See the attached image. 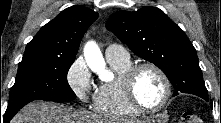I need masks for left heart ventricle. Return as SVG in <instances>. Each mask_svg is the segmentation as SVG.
<instances>
[{
  "instance_id": "obj_1",
  "label": "left heart ventricle",
  "mask_w": 221,
  "mask_h": 123,
  "mask_svg": "<svg viewBox=\"0 0 221 123\" xmlns=\"http://www.w3.org/2000/svg\"><path fill=\"white\" fill-rule=\"evenodd\" d=\"M134 89L137 99L146 107H155L160 104L165 94L162 79L149 68L143 69L137 74Z\"/></svg>"
}]
</instances>
